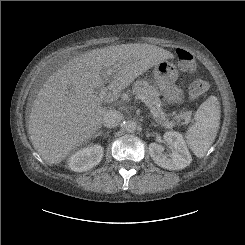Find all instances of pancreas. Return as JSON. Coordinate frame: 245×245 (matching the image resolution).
Segmentation results:
<instances>
[{"label":"pancreas","mask_w":245,"mask_h":245,"mask_svg":"<svg viewBox=\"0 0 245 245\" xmlns=\"http://www.w3.org/2000/svg\"><path fill=\"white\" fill-rule=\"evenodd\" d=\"M132 93L134 95H144L146 96L149 101L154 105V107L157 109L158 113H163L160 105L162 104L159 96L160 93L157 89V87L149 84L145 80H138L133 84L132 87ZM191 112L188 111L186 113H180L176 116V119L180 121L181 119H184V123L187 124L190 121ZM168 122V121H167Z\"/></svg>","instance_id":"pancreas-1"}]
</instances>
